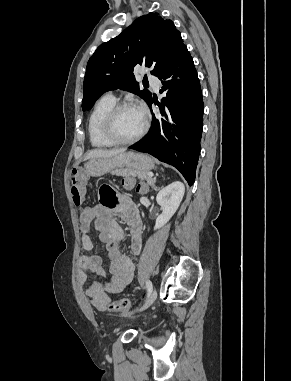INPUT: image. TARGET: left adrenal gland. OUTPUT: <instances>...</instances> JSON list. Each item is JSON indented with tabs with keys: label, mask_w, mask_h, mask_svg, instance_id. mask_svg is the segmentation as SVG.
<instances>
[{
	"label": "left adrenal gland",
	"mask_w": 291,
	"mask_h": 381,
	"mask_svg": "<svg viewBox=\"0 0 291 381\" xmlns=\"http://www.w3.org/2000/svg\"><path fill=\"white\" fill-rule=\"evenodd\" d=\"M153 189H156V186L154 185V183L151 185Z\"/></svg>",
	"instance_id": "left-adrenal-gland-1"
}]
</instances>
